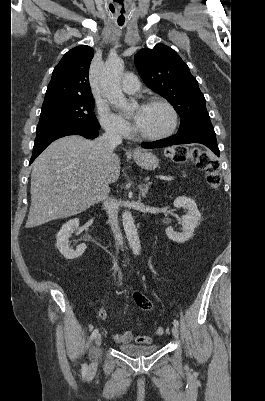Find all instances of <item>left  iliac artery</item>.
I'll return each mask as SVG.
<instances>
[{
	"label": "left iliac artery",
	"mask_w": 265,
	"mask_h": 401,
	"mask_svg": "<svg viewBox=\"0 0 265 401\" xmlns=\"http://www.w3.org/2000/svg\"><path fill=\"white\" fill-rule=\"evenodd\" d=\"M173 324H174V326L178 327V326H179L178 320L175 319V320L173 321Z\"/></svg>",
	"instance_id": "left-iliac-artery-1"
}]
</instances>
